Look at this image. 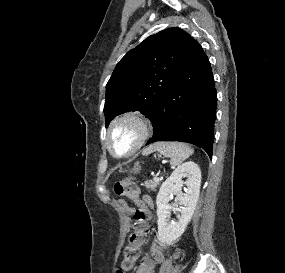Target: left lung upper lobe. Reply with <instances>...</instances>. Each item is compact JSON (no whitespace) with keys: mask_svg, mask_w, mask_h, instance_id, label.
<instances>
[{"mask_svg":"<svg viewBox=\"0 0 285 273\" xmlns=\"http://www.w3.org/2000/svg\"><path fill=\"white\" fill-rule=\"evenodd\" d=\"M192 41L184 30L169 28L130 50L106 86V126L125 112L140 110L148 117L179 75Z\"/></svg>","mask_w":285,"mask_h":273,"instance_id":"5c2ea615","label":"left lung upper lobe"}]
</instances>
